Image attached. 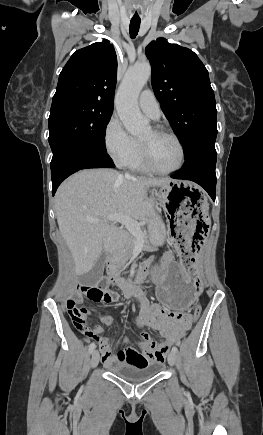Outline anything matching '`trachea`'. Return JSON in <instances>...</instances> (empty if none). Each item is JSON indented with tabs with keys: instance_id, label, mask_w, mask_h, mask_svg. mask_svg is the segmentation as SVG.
<instances>
[{
	"instance_id": "trachea-1",
	"label": "trachea",
	"mask_w": 263,
	"mask_h": 435,
	"mask_svg": "<svg viewBox=\"0 0 263 435\" xmlns=\"http://www.w3.org/2000/svg\"><path fill=\"white\" fill-rule=\"evenodd\" d=\"M140 20H131L130 21V26H129V32H130V37L131 38H135L138 34L139 28H140Z\"/></svg>"
}]
</instances>
